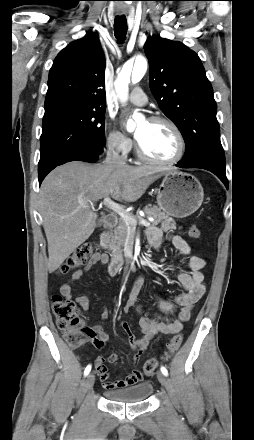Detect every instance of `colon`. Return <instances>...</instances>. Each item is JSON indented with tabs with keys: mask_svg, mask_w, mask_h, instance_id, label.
Returning <instances> with one entry per match:
<instances>
[{
	"mask_svg": "<svg viewBox=\"0 0 254 440\" xmlns=\"http://www.w3.org/2000/svg\"><path fill=\"white\" fill-rule=\"evenodd\" d=\"M189 234L194 239H200L202 236L201 230L198 226L193 225L189 229ZM93 254V248L90 244H83L79 246L67 259L60 265L58 271L60 273H67L77 267L82 266L89 257ZM52 311L55 317L57 327L64 333V338L67 344L72 348L82 346L91 336H93L92 329L85 326L83 321L78 316V307L70 299L63 295L56 294L52 297ZM183 337L181 334L174 335L161 359H168L174 355L181 346ZM159 364V359L151 358L144 364V372L147 375L153 374Z\"/></svg>",
	"mask_w": 254,
	"mask_h": 440,
	"instance_id": "colon-1",
	"label": "colon"
}]
</instances>
